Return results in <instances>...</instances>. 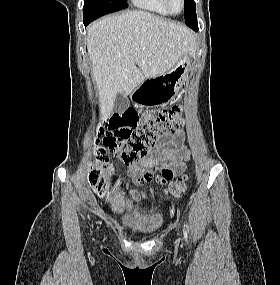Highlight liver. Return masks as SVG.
Returning <instances> with one entry per match:
<instances>
[{
    "instance_id": "1",
    "label": "liver",
    "mask_w": 280,
    "mask_h": 285,
    "mask_svg": "<svg viewBox=\"0 0 280 285\" xmlns=\"http://www.w3.org/2000/svg\"><path fill=\"white\" fill-rule=\"evenodd\" d=\"M87 31L103 116L114 109L118 93L128 96L146 78L167 72L195 48V36L187 27L140 10L104 17Z\"/></svg>"
}]
</instances>
